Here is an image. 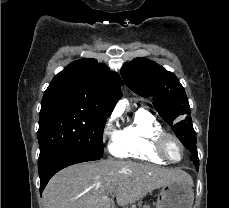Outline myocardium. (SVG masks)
<instances>
[{
  "label": "myocardium",
  "instance_id": "myocardium-1",
  "mask_svg": "<svg viewBox=\"0 0 229 208\" xmlns=\"http://www.w3.org/2000/svg\"><path fill=\"white\" fill-rule=\"evenodd\" d=\"M173 139L175 141H177L180 146L182 147V151H183V154H182V157L178 160L174 159L172 157V149L169 148V141ZM156 147L157 148H153L152 149V152L153 153H159L158 154V157L159 158H166L170 163H180L184 160L185 156H186V145L185 143L183 142V140L177 136L176 134L174 133H170V132H163L160 136H159V139H158V143L156 144Z\"/></svg>",
  "mask_w": 229,
  "mask_h": 208
}]
</instances>
